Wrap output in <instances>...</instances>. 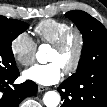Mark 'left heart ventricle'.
<instances>
[{
    "label": "left heart ventricle",
    "instance_id": "1",
    "mask_svg": "<svg viewBox=\"0 0 107 107\" xmlns=\"http://www.w3.org/2000/svg\"><path fill=\"white\" fill-rule=\"evenodd\" d=\"M77 48V39L76 37H71L67 43V45L62 50H56L54 48L51 49L49 53L48 60L58 62L61 67L64 69L74 59L75 53Z\"/></svg>",
    "mask_w": 107,
    "mask_h": 107
}]
</instances>
